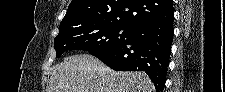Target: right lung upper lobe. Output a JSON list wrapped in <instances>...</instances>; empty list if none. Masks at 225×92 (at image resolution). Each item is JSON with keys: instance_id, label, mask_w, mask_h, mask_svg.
<instances>
[{"instance_id": "cb5924a9", "label": "right lung upper lobe", "mask_w": 225, "mask_h": 92, "mask_svg": "<svg viewBox=\"0 0 225 92\" xmlns=\"http://www.w3.org/2000/svg\"><path fill=\"white\" fill-rule=\"evenodd\" d=\"M173 18L172 0H72L60 30L82 21L118 22L135 28Z\"/></svg>"}]
</instances>
